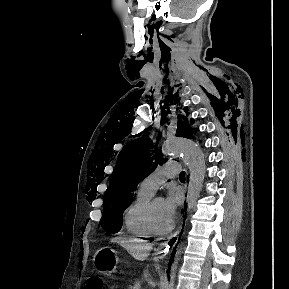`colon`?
<instances>
[{"instance_id":"colon-1","label":"colon","mask_w":289,"mask_h":289,"mask_svg":"<svg viewBox=\"0 0 289 289\" xmlns=\"http://www.w3.org/2000/svg\"><path fill=\"white\" fill-rule=\"evenodd\" d=\"M84 289H104V285L101 280L91 278L85 283Z\"/></svg>"}]
</instances>
